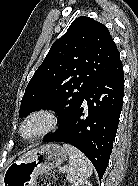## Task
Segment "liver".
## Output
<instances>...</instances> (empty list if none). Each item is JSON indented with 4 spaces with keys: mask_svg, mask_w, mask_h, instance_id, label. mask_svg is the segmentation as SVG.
Masks as SVG:
<instances>
[{
    "mask_svg": "<svg viewBox=\"0 0 138 186\" xmlns=\"http://www.w3.org/2000/svg\"><path fill=\"white\" fill-rule=\"evenodd\" d=\"M30 152L26 153L24 156H27Z\"/></svg>",
    "mask_w": 138,
    "mask_h": 186,
    "instance_id": "6515ba94",
    "label": "liver"
}]
</instances>
